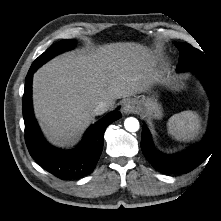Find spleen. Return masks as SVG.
Wrapping results in <instances>:
<instances>
[{
  "label": "spleen",
  "instance_id": "obj_1",
  "mask_svg": "<svg viewBox=\"0 0 221 221\" xmlns=\"http://www.w3.org/2000/svg\"><path fill=\"white\" fill-rule=\"evenodd\" d=\"M167 128L176 140L188 142L195 139L200 132V117L194 111H182L169 118Z\"/></svg>",
  "mask_w": 221,
  "mask_h": 221
}]
</instances>
